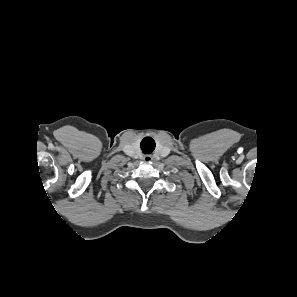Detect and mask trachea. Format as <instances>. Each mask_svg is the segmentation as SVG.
<instances>
[{
  "label": "trachea",
  "instance_id": "3493384b",
  "mask_svg": "<svg viewBox=\"0 0 297 297\" xmlns=\"http://www.w3.org/2000/svg\"><path fill=\"white\" fill-rule=\"evenodd\" d=\"M154 148H155V142L153 141V139L147 137L142 140L141 149L144 152L151 153L154 150Z\"/></svg>",
  "mask_w": 297,
  "mask_h": 297
}]
</instances>
